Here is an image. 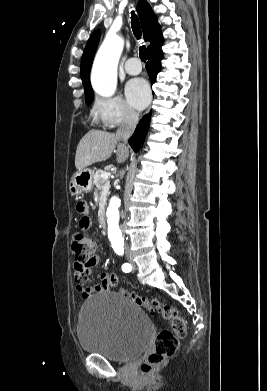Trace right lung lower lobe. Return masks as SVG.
<instances>
[{"label":"right lung lower lobe","instance_id":"right-lung-lower-lobe-1","mask_svg":"<svg viewBox=\"0 0 267 391\" xmlns=\"http://www.w3.org/2000/svg\"><path fill=\"white\" fill-rule=\"evenodd\" d=\"M163 57V52L161 48L154 53L148 55V63L146 65V70L149 74L151 84L155 83L156 76L161 69V59ZM151 119V112L147 115H144L137 125L134 134L129 138V144L135 152H138L141 146L144 143L145 136L147 134L149 123Z\"/></svg>","mask_w":267,"mask_h":391}]
</instances>
